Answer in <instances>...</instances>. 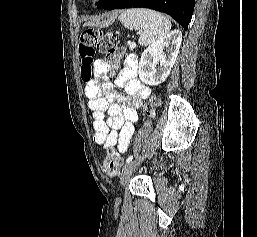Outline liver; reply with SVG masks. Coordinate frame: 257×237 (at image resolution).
<instances>
[{"label": "liver", "instance_id": "1", "mask_svg": "<svg viewBox=\"0 0 257 237\" xmlns=\"http://www.w3.org/2000/svg\"><path fill=\"white\" fill-rule=\"evenodd\" d=\"M116 17H117V13H113V14H111L109 17H108V19H107V24H111V23H113L114 21H115V19H116Z\"/></svg>", "mask_w": 257, "mask_h": 237}]
</instances>
